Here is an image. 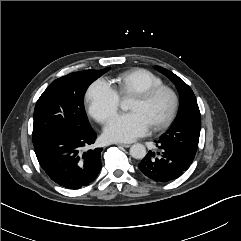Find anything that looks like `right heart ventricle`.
Segmentation results:
<instances>
[{
	"mask_svg": "<svg viewBox=\"0 0 241 241\" xmlns=\"http://www.w3.org/2000/svg\"><path fill=\"white\" fill-rule=\"evenodd\" d=\"M114 81L116 91L123 98L132 97L145 89L163 84L159 76L141 68L122 72Z\"/></svg>",
	"mask_w": 241,
	"mask_h": 241,
	"instance_id": "obj_1",
	"label": "right heart ventricle"
}]
</instances>
